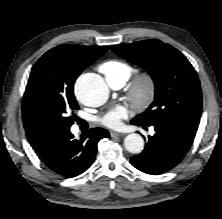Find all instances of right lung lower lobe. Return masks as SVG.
<instances>
[{
    "label": "right lung lower lobe",
    "instance_id": "obj_1",
    "mask_svg": "<svg viewBox=\"0 0 222 219\" xmlns=\"http://www.w3.org/2000/svg\"><path fill=\"white\" fill-rule=\"evenodd\" d=\"M109 136L108 131L94 128L82 138L75 139L68 130L56 140L42 160L50 170L61 176H78L94 162L98 142Z\"/></svg>",
    "mask_w": 222,
    "mask_h": 219
}]
</instances>
